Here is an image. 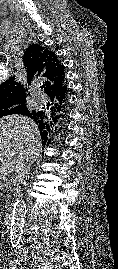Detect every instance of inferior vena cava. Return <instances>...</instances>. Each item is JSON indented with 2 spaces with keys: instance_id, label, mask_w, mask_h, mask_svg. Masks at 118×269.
<instances>
[{
  "instance_id": "1",
  "label": "inferior vena cava",
  "mask_w": 118,
  "mask_h": 269,
  "mask_svg": "<svg viewBox=\"0 0 118 269\" xmlns=\"http://www.w3.org/2000/svg\"><path fill=\"white\" fill-rule=\"evenodd\" d=\"M33 162V159L26 158L18 165L15 175V183L18 190H20L21 186H23L29 178Z\"/></svg>"
}]
</instances>
